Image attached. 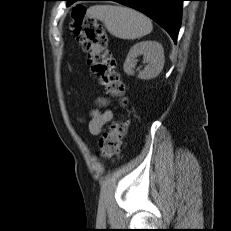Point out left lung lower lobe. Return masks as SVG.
Returning <instances> with one entry per match:
<instances>
[{
	"mask_svg": "<svg viewBox=\"0 0 231 231\" xmlns=\"http://www.w3.org/2000/svg\"><path fill=\"white\" fill-rule=\"evenodd\" d=\"M68 6L76 1H115L149 16L177 41L181 24L182 2L185 0H65Z\"/></svg>",
	"mask_w": 231,
	"mask_h": 231,
	"instance_id": "left-lung-lower-lobe-1",
	"label": "left lung lower lobe"
}]
</instances>
